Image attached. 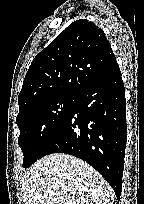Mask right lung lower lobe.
<instances>
[{
  "label": "right lung lower lobe",
  "mask_w": 144,
  "mask_h": 204,
  "mask_svg": "<svg viewBox=\"0 0 144 204\" xmlns=\"http://www.w3.org/2000/svg\"><path fill=\"white\" fill-rule=\"evenodd\" d=\"M125 89L118 64L76 94L41 157L76 156L93 166L120 199L127 141Z\"/></svg>",
  "instance_id": "1"
}]
</instances>
